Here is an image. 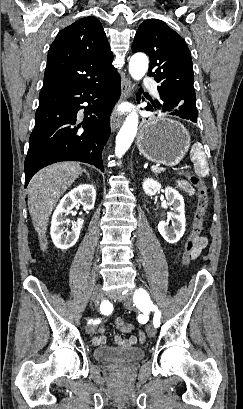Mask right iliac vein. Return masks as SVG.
Here are the masks:
<instances>
[{"instance_id":"right-iliac-vein-1","label":"right iliac vein","mask_w":243,"mask_h":409,"mask_svg":"<svg viewBox=\"0 0 243 409\" xmlns=\"http://www.w3.org/2000/svg\"><path fill=\"white\" fill-rule=\"evenodd\" d=\"M102 297V288L100 285L96 286L93 291L92 299L94 302H98ZM96 326L94 323H90L86 326V332L88 334H93L95 332Z\"/></svg>"}]
</instances>
